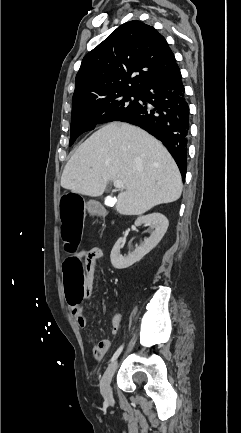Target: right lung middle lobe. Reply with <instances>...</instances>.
Wrapping results in <instances>:
<instances>
[{
	"mask_svg": "<svg viewBox=\"0 0 241 433\" xmlns=\"http://www.w3.org/2000/svg\"><path fill=\"white\" fill-rule=\"evenodd\" d=\"M139 99V91H124L73 104L69 146L83 132L94 129L97 123L117 121L130 114L139 104Z\"/></svg>",
	"mask_w": 241,
	"mask_h": 433,
	"instance_id": "right-lung-middle-lobe-1",
	"label": "right lung middle lobe"
}]
</instances>
